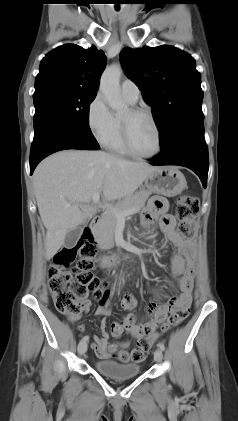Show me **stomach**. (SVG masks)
Here are the masks:
<instances>
[{
	"label": "stomach",
	"mask_w": 238,
	"mask_h": 421,
	"mask_svg": "<svg viewBox=\"0 0 238 421\" xmlns=\"http://www.w3.org/2000/svg\"><path fill=\"white\" fill-rule=\"evenodd\" d=\"M184 175L174 167H157L145 179V186L158 194L173 197L180 194L186 187Z\"/></svg>",
	"instance_id": "stomach-1"
}]
</instances>
